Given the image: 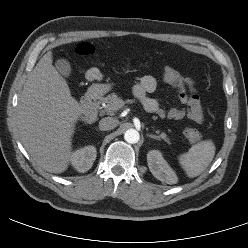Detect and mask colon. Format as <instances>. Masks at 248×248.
Returning <instances> with one entry per match:
<instances>
[{
    "label": "colon",
    "mask_w": 248,
    "mask_h": 248,
    "mask_svg": "<svg viewBox=\"0 0 248 248\" xmlns=\"http://www.w3.org/2000/svg\"><path fill=\"white\" fill-rule=\"evenodd\" d=\"M94 51V47L88 43H82L76 48V53L82 56L91 55ZM160 76L163 82L175 87H179L184 79L179 71L170 66L161 67ZM184 135L190 142H197L201 139L199 131L192 127H187L184 130Z\"/></svg>",
    "instance_id": "obj_1"
}]
</instances>
